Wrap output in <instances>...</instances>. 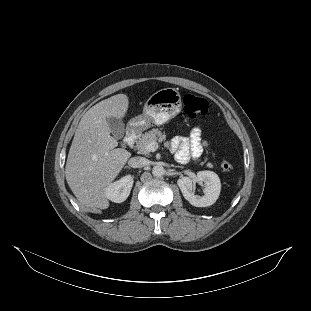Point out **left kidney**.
<instances>
[{
    "label": "left kidney",
    "mask_w": 311,
    "mask_h": 311,
    "mask_svg": "<svg viewBox=\"0 0 311 311\" xmlns=\"http://www.w3.org/2000/svg\"><path fill=\"white\" fill-rule=\"evenodd\" d=\"M197 180L205 184L203 196L195 195V184L191 178L182 177L178 179L177 184L184 198L196 207H206L214 204L221 191V182L218 175L213 171H199Z\"/></svg>",
    "instance_id": "left-kidney-1"
}]
</instances>
